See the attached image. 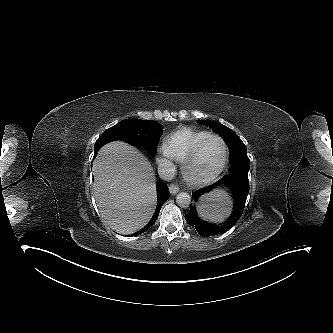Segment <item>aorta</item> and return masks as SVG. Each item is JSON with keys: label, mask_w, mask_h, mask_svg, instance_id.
I'll return each mask as SVG.
<instances>
[{"label": "aorta", "mask_w": 333, "mask_h": 333, "mask_svg": "<svg viewBox=\"0 0 333 333\" xmlns=\"http://www.w3.org/2000/svg\"><path fill=\"white\" fill-rule=\"evenodd\" d=\"M176 203L182 208H187L191 203V196L186 192H181L176 197Z\"/></svg>", "instance_id": "1"}]
</instances>
